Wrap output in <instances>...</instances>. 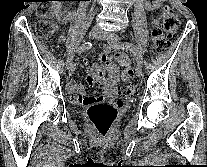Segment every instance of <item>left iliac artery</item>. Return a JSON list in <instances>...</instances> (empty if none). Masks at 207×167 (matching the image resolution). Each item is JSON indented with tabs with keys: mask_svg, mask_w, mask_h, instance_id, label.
Returning <instances> with one entry per match:
<instances>
[{
	"mask_svg": "<svg viewBox=\"0 0 207 167\" xmlns=\"http://www.w3.org/2000/svg\"><path fill=\"white\" fill-rule=\"evenodd\" d=\"M120 46H121V48H125V49L132 51L136 57L137 64H139L141 66L143 65L142 54L135 45H133L132 43L126 42V43H121Z\"/></svg>",
	"mask_w": 207,
	"mask_h": 167,
	"instance_id": "44dca946",
	"label": "left iliac artery"
}]
</instances>
